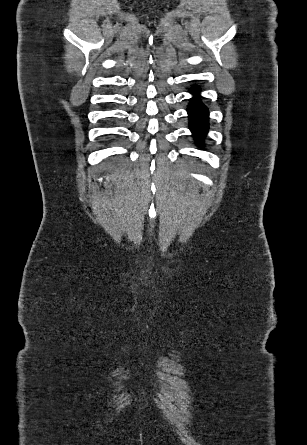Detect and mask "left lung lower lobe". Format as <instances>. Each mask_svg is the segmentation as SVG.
Instances as JSON below:
<instances>
[{
  "mask_svg": "<svg viewBox=\"0 0 307 445\" xmlns=\"http://www.w3.org/2000/svg\"><path fill=\"white\" fill-rule=\"evenodd\" d=\"M198 89L195 87L191 92L195 95L190 100L187 109L190 118V129L193 136L200 141L208 131V110L198 99Z\"/></svg>",
  "mask_w": 307,
  "mask_h": 445,
  "instance_id": "obj_1",
  "label": "left lung lower lobe"
}]
</instances>
